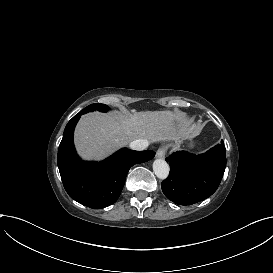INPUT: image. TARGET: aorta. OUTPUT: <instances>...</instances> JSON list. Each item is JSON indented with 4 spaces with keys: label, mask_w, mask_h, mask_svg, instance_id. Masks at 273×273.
Masks as SVG:
<instances>
[{
    "label": "aorta",
    "mask_w": 273,
    "mask_h": 273,
    "mask_svg": "<svg viewBox=\"0 0 273 273\" xmlns=\"http://www.w3.org/2000/svg\"><path fill=\"white\" fill-rule=\"evenodd\" d=\"M153 171L159 179H166L169 175V165L163 159H156L153 162Z\"/></svg>",
    "instance_id": "obj_1"
}]
</instances>
